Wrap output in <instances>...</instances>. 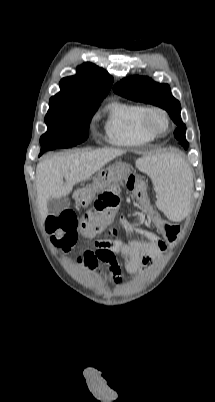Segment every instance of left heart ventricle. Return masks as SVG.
<instances>
[{"instance_id":"obj_1","label":"left heart ventricle","mask_w":215,"mask_h":402,"mask_svg":"<svg viewBox=\"0 0 215 402\" xmlns=\"http://www.w3.org/2000/svg\"><path fill=\"white\" fill-rule=\"evenodd\" d=\"M151 125L156 130H162L165 127V120L161 115L155 114L151 117Z\"/></svg>"}]
</instances>
